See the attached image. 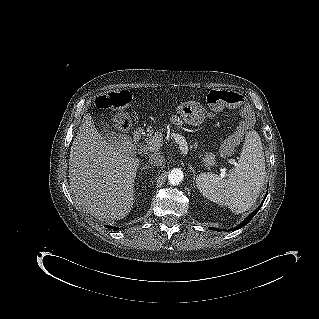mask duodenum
I'll return each mask as SVG.
<instances>
[{
  "mask_svg": "<svg viewBox=\"0 0 319 319\" xmlns=\"http://www.w3.org/2000/svg\"><path fill=\"white\" fill-rule=\"evenodd\" d=\"M142 136H143V130H142V128H141V127H137V128L134 130L133 135H132L134 143H135V144H138V143L141 141Z\"/></svg>",
  "mask_w": 319,
  "mask_h": 319,
  "instance_id": "obj_1",
  "label": "duodenum"
}]
</instances>
